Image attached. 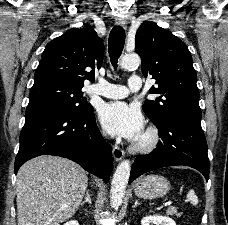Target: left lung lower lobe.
<instances>
[{"instance_id":"0a47b994","label":"left lung lower lobe","mask_w":228,"mask_h":225,"mask_svg":"<svg viewBox=\"0 0 228 225\" xmlns=\"http://www.w3.org/2000/svg\"><path fill=\"white\" fill-rule=\"evenodd\" d=\"M156 126L161 140L153 152L136 157L129 184L146 172L177 165L195 168L208 180L209 159L201 120L186 116H172Z\"/></svg>"}]
</instances>
